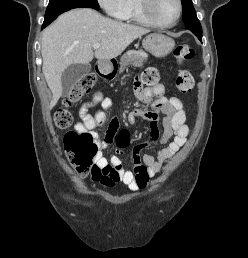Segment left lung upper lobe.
I'll return each mask as SVG.
<instances>
[{
    "label": "left lung upper lobe",
    "instance_id": "left-lung-upper-lobe-1",
    "mask_svg": "<svg viewBox=\"0 0 248 258\" xmlns=\"http://www.w3.org/2000/svg\"><path fill=\"white\" fill-rule=\"evenodd\" d=\"M183 5V21L186 28H201L200 22L196 16L192 0H181Z\"/></svg>",
    "mask_w": 248,
    "mask_h": 258
}]
</instances>
